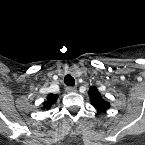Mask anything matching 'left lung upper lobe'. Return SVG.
<instances>
[{"label": "left lung upper lobe", "instance_id": "5c2ea615", "mask_svg": "<svg viewBox=\"0 0 145 145\" xmlns=\"http://www.w3.org/2000/svg\"><path fill=\"white\" fill-rule=\"evenodd\" d=\"M89 97L91 99V102L93 104V106L98 109L99 111H106L109 107L110 104L109 102L105 101L101 95L100 92L98 91V89L96 87H91L89 89Z\"/></svg>", "mask_w": 145, "mask_h": 145}]
</instances>
